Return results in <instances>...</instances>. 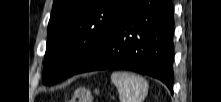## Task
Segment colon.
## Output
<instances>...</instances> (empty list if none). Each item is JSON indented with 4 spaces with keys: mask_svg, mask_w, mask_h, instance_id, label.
<instances>
[{
    "mask_svg": "<svg viewBox=\"0 0 221 102\" xmlns=\"http://www.w3.org/2000/svg\"><path fill=\"white\" fill-rule=\"evenodd\" d=\"M71 102H93L92 93L86 88H79L74 92Z\"/></svg>",
    "mask_w": 221,
    "mask_h": 102,
    "instance_id": "5ec220e1",
    "label": "colon"
}]
</instances>
